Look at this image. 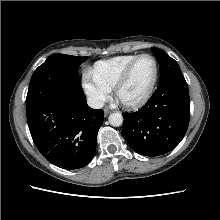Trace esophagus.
<instances>
[{
    "label": "esophagus",
    "instance_id": "1",
    "mask_svg": "<svg viewBox=\"0 0 220 220\" xmlns=\"http://www.w3.org/2000/svg\"><path fill=\"white\" fill-rule=\"evenodd\" d=\"M110 112H111L110 109H108V108H105V109H104V115H105V116H107Z\"/></svg>",
    "mask_w": 220,
    "mask_h": 220
}]
</instances>
